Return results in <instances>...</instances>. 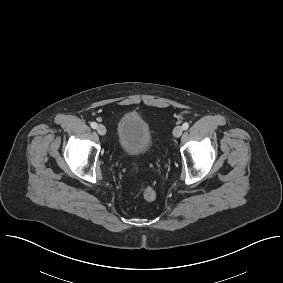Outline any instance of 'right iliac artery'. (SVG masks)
I'll return each instance as SVG.
<instances>
[{"instance_id":"1","label":"right iliac artery","mask_w":283,"mask_h":283,"mask_svg":"<svg viewBox=\"0 0 283 283\" xmlns=\"http://www.w3.org/2000/svg\"><path fill=\"white\" fill-rule=\"evenodd\" d=\"M91 127L93 128V129H96L97 128V123L96 122H91Z\"/></svg>"}]
</instances>
